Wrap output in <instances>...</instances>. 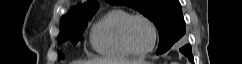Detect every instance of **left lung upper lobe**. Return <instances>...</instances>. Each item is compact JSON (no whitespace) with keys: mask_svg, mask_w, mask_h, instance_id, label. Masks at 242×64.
I'll list each match as a JSON object with an SVG mask.
<instances>
[{"mask_svg":"<svg viewBox=\"0 0 242 64\" xmlns=\"http://www.w3.org/2000/svg\"><path fill=\"white\" fill-rule=\"evenodd\" d=\"M113 5H126L153 21L160 35L156 54H162L185 34V21L179 0H106Z\"/></svg>","mask_w":242,"mask_h":64,"instance_id":"obj_1","label":"left lung upper lobe"}]
</instances>
